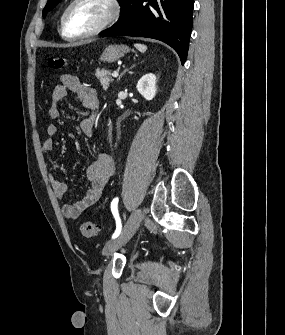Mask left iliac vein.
I'll list each match as a JSON object with an SVG mask.
<instances>
[{
    "instance_id": "left-iliac-vein-1",
    "label": "left iliac vein",
    "mask_w": 285,
    "mask_h": 335,
    "mask_svg": "<svg viewBox=\"0 0 285 335\" xmlns=\"http://www.w3.org/2000/svg\"><path fill=\"white\" fill-rule=\"evenodd\" d=\"M143 219H144V211H142L141 209L135 210L126 221L120 234L115 239L105 244L102 250L103 255L105 256L112 255L120 247L126 244L131 239L133 234L136 232V230L140 225V222Z\"/></svg>"
}]
</instances>
